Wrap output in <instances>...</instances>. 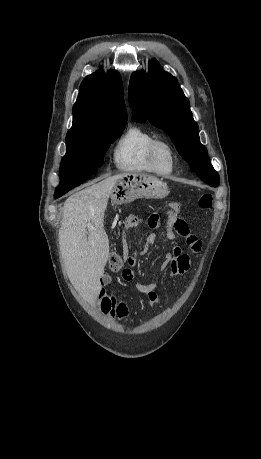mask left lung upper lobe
<instances>
[{
  "label": "left lung upper lobe",
  "instance_id": "5c2ea615",
  "mask_svg": "<svg viewBox=\"0 0 261 459\" xmlns=\"http://www.w3.org/2000/svg\"><path fill=\"white\" fill-rule=\"evenodd\" d=\"M128 98L136 122L149 120L162 128L199 178L212 187L219 185V175L200 143L189 100L174 76L153 59L147 74L137 71L131 75Z\"/></svg>",
  "mask_w": 261,
  "mask_h": 459
}]
</instances>
